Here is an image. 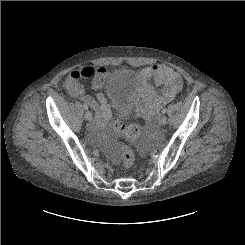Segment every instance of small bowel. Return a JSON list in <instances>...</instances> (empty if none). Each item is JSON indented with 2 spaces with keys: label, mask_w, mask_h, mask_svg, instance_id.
<instances>
[{
  "label": "small bowel",
  "mask_w": 245,
  "mask_h": 245,
  "mask_svg": "<svg viewBox=\"0 0 245 245\" xmlns=\"http://www.w3.org/2000/svg\"><path fill=\"white\" fill-rule=\"evenodd\" d=\"M110 77V71L105 67H85L73 70L65 83L68 93L80 99L92 108L100 104V111L95 118L97 127L109 123L112 112L106 103L103 92ZM92 78V88L97 92L95 98L85 94L81 80ZM139 82V91L145 100V106L154 105L157 108L172 101L182 89V80L179 74L164 64H152L141 68L136 73Z\"/></svg>",
  "instance_id": "1"
}]
</instances>
